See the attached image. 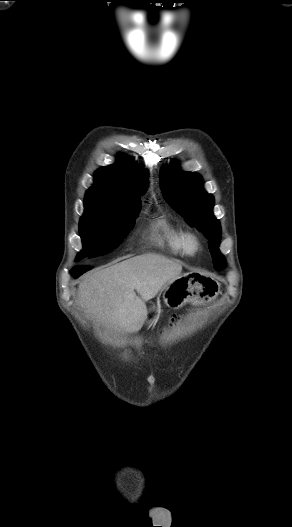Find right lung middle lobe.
Here are the masks:
<instances>
[{"instance_id": "dd1d6c3e", "label": "right lung middle lobe", "mask_w": 292, "mask_h": 527, "mask_svg": "<svg viewBox=\"0 0 292 527\" xmlns=\"http://www.w3.org/2000/svg\"><path fill=\"white\" fill-rule=\"evenodd\" d=\"M140 211V203L133 205L109 203L85 196V212L80 220L84 257L103 255L112 251L133 228Z\"/></svg>"}]
</instances>
